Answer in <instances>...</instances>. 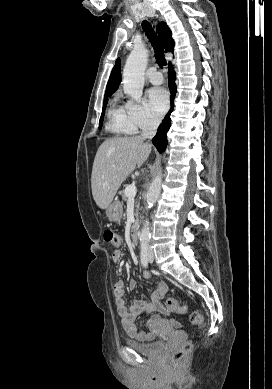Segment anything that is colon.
<instances>
[{"label": "colon", "instance_id": "5ec220e1", "mask_svg": "<svg viewBox=\"0 0 272 389\" xmlns=\"http://www.w3.org/2000/svg\"><path fill=\"white\" fill-rule=\"evenodd\" d=\"M104 240L111 244L114 247H119L121 244V237L116 232L107 229L104 231ZM187 311V307L181 304L175 298H168L165 303V312L166 314H183ZM189 320L192 325L200 327L203 324L204 318L203 315L199 312H193ZM192 350V344L190 342H185L178 349L174 350L170 354V361L174 366H180L183 364L189 357Z\"/></svg>", "mask_w": 272, "mask_h": 389}]
</instances>
